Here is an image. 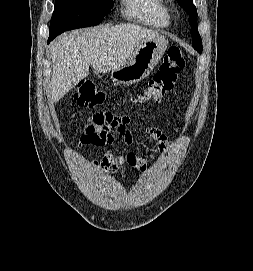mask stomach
<instances>
[{"label":"stomach","instance_id":"obj_1","mask_svg":"<svg viewBox=\"0 0 253 271\" xmlns=\"http://www.w3.org/2000/svg\"><path fill=\"white\" fill-rule=\"evenodd\" d=\"M167 40L163 36L141 41L125 64L111 71V78L118 84L131 85L144 79L162 58Z\"/></svg>","mask_w":253,"mask_h":271}]
</instances>
